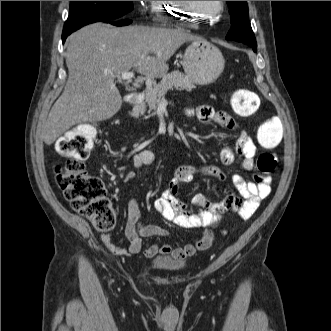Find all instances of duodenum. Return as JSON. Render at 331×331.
<instances>
[{
    "instance_id": "1",
    "label": "duodenum",
    "mask_w": 331,
    "mask_h": 331,
    "mask_svg": "<svg viewBox=\"0 0 331 331\" xmlns=\"http://www.w3.org/2000/svg\"><path fill=\"white\" fill-rule=\"evenodd\" d=\"M141 101H142V97L140 94H131L128 100V107L133 108L137 106L139 103H141Z\"/></svg>"
}]
</instances>
